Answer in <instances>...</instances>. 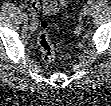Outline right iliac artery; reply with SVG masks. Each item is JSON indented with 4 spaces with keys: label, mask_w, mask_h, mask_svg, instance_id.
<instances>
[{
    "label": "right iliac artery",
    "mask_w": 111,
    "mask_h": 106,
    "mask_svg": "<svg viewBox=\"0 0 111 106\" xmlns=\"http://www.w3.org/2000/svg\"><path fill=\"white\" fill-rule=\"evenodd\" d=\"M21 14H22V17L28 18V14L26 11L23 10Z\"/></svg>",
    "instance_id": "right-iliac-artery-1"
}]
</instances>
